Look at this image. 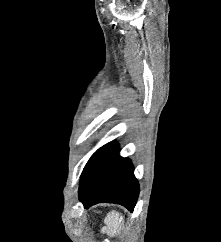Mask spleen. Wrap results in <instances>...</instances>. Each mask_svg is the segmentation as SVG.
<instances>
[{
    "label": "spleen",
    "instance_id": "1",
    "mask_svg": "<svg viewBox=\"0 0 221 242\" xmlns=\"http://www.w3.org/2000/svg\"><path fill=\"white\" fill-rule=\"evenodd\" d=\"M123 218L119 216L117 213L111 212L105 218V224L107 225V234L110 236L117 235L121 232V222Z\"/></svg>",
    "mask_w": 221,
    "mask_h": 242
}]
</instances>
